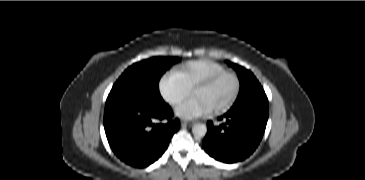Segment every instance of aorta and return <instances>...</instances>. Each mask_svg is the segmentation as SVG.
I'll return each mask as SVG.
<instances>
[{
	"label": "aorta",
	"instance_id": "aorta-1",
	"mask_svg": "<svg viewBox=\"0 0 365 180\" xmlns=\"http://www.w3.org/2000/svg\"><path fill=\"white\" fill-rule=\"evenodd\" d=\"M192 133L195 137H204L207 133V126L203 123H196L192 127Z\"/></svg>",
	"mask_w": 365,
	"mask_h": 180
}]
</instances>
